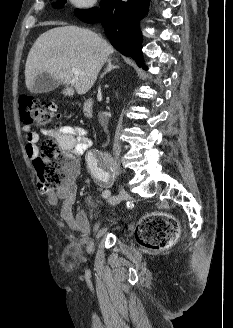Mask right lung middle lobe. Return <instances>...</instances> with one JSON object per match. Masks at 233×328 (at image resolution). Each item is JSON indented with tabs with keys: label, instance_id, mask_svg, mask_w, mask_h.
<instances>
[{
	"label": "right lung middle lobe",
	"instance_id": "dd1d6c3e",
	"mask_svg": "<svg viewBox=\"0 0 233 328\" xmlns=\"http://www.w3.org/2000/svg\"><path fill=\"white\" fill-rule=\"evenodd\" d=\"M63 2H65V0H60L59 2H56L53 5L56 8H61L63 6ZM83 11L85 10H79V9L76 10V12H83Z\"/></svg>",
	"mask_w": 233,
	"mask_h": 328
}]
</instances>
